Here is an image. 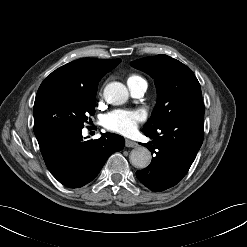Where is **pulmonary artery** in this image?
<instances>
[{"mask_svg": "<svg viewBox=\"0 0 247 247\" xmlns=\"http://www.w3.org/2000/svg\"><path fill=\"white\" fill-rule=\"evenodd\" d=\"M128 88L132 96L139 98L146 92L147 83L145 80L128 82Z\"/></svg>", "mask_w": 247, "mask_h": 247, "instance_id": "e3ab8cb5", "label": "pulmonary artery"}]
</instances>
